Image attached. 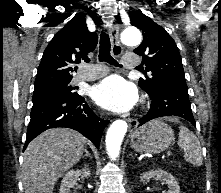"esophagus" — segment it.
<instances>
[{"label":"esophagus","mask_w":221,"mask_h":193,"mask_svg":"<svg viewBox=\"0 0 221 193\" xmlns=\"http://www.w3.org/2000/svg\"><path fill=\"white\" fill-rule=\"evenodd\" d=\"M110 39H111V45H112V53L114 56L118 57L123 52V47L120 43L119 39V27L118 25H112L110 28ZM130 127H136L137 126V120L128 119Z\"/></svg>","instance_id":"esophagus-1"}]
</instances>
